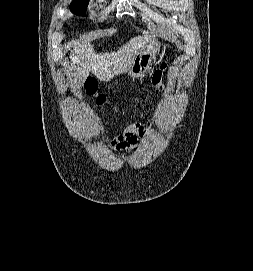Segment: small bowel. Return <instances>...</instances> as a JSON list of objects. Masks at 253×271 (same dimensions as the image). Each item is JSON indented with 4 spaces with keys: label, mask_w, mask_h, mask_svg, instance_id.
<instances>
[{
    "label": "small bowel",
    "mask_w": 253,
    "mask_h": 271,
    "mask_svg": "<svg viewBox=\"0 0 253 271\" xmlns=\"http://www.w3.org/2000/svg\"><path fill=\"white\" fill-rule=\"evenodd\" d=\"M151 132L141 124L132 123L127 125L121 134L111 143L115 152L130 154L135 151L139 139H147Z\"/></svg>",
    "instance_id": "obj_1"
}]
</instances>
